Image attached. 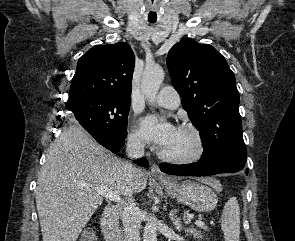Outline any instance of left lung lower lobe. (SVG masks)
<instances>
[{"label": "left lung lower lobe", "instance_id": "left-lung-lower-lobe-1", "mask_svg": "<svg viewBox=\"0 0 295 241\" xmlns=\"http://www.w3.org/2000/svg\"><path fill=\"white\" fill-rule=\"evenodd\" d=\"M159 167L162 172L167 174L182 176H208L220 173H235L239 171H244L248 174L246 162L222 157L201 159L196 163L184 165L161 163Z\"/></svg>", "mask_w": 295, "mask_h": 241}]
</instances>
